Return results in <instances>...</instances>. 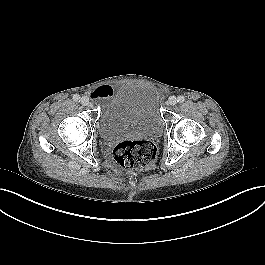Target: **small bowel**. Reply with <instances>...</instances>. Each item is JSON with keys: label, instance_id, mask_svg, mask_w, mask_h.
<instances>
[{"label": "small bowel", "instance_id": "c3829d8e", "mask_svg": "<svg viewBox=\"0 0 265 265\" xmlns=\"http://www.w3.org/2000/svg\"><path fill=\"white\" fill-rule=\"evenodd\" d=\"M115 92L114 88L110 85H101L97 87L91 94L92 98L103 101Z\"/></svg>", "mask_w": 265, "mask_h": 265}]
</instances>
